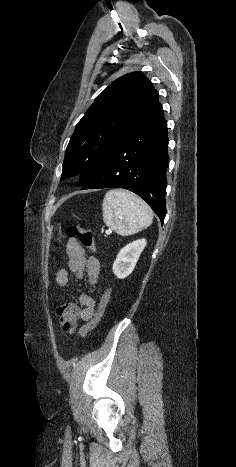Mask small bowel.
Instances as JSON below:
<instances>
[{
    "label": "small bowel",
    "instance_id": "1",
    "mask_svg": "<svg viewBox=\"0 0 236 467\" xmlns=\"http://www.w3.org/2000/svg\"><path fill=\"white\" fill-rule=\"evenodd\" d=\"M66 267L60 269L56 274V283L65 289L69 283V272L74 273L76 278L82 279L87 273L91 284L96 285L100 275L101 265L94 256H86L84 249L75 239L67 242ZM59 323L66 333H73L79 320L90 321L95 314V299L87 294L79 297V305L66 303L56 310Z\"/></svg>",
    "mask_w": 236,
    "mask_h": 467
}]
</instances>
